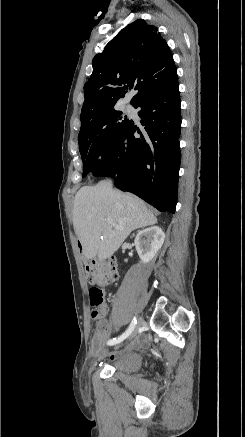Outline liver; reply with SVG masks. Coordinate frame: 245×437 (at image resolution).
Segmentation results:
<instances>
[{
  "label": "liver",
  "instance_id": "6515ba94",
  "mask_svg": "<svg viewBox=\"0 0 245 437\" xmlns=\"http://www.w3.org/2000/svg\"><path fill=\"white\" fill-rule=\"evenodd\" d=\"M156 223L141 199L113 189L109 181L84 186L75 195L73 226L86 259L111 257L133 230Z\"/></svg>",
  "mask_w": 245,
  "mask_h": 437
}]
</instances>
